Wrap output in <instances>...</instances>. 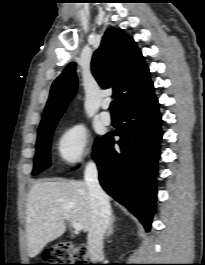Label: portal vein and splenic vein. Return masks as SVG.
Masks as SVG:
<instances>
[{
    "label": "portal vein and splenic vein",
    "instance_id": "18ae733b",
    "mask_svg": "<svg viewBox=\"0 0 205 265\" xmlns=\"http://www.w3.org/2000/svg\"><path fill=\"white\" fill-rule=\"evenodd\" d=\"M72 226L76 232H79L83 229V226L80 223L72 221Z\"/></svg>",
    "mask_w": 205,
    "mask_h": 265
}]
</instances>
